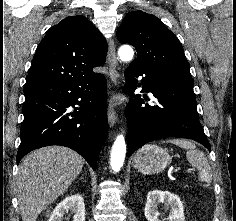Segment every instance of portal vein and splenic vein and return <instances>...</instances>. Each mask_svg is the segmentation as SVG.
<instances>
[{"mask_svg": "<svg viewBox=\"0 0 236 221\" xmlns=\"http://www.w3.org/2000/svg\"><path fill=\"white\" fill-rule=\"evenodd\" d=\"M193 171V169L192 168H188L187 170H186V172H192Z\"/></svg>", "mask_w": 236, "mask_h": 221, "instance_id": "1", "label": "portal vein and splenic vein"}]
</instances>
